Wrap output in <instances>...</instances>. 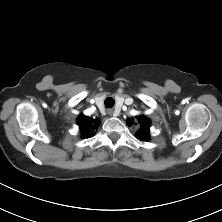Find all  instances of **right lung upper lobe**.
<instances>
[{
  "label": "right lung upper lobe",
  "mask_w": 222,
  "mask_h": 222,
  "mask_svg": "<svg viewBox=\"0 0 222 222\" xmlns=\"http://www.w3.org/2000/svg\"><path fill=\"white\" fill-rule=\"evenodd\" d=\"M97 120L89 118L84 115H80L77 122L80 127V131L83 137H92L94 133L92 132L93 128H97Z\"/></svg>",
  "instance_id": "cb5924a9"
}]
</instances>
